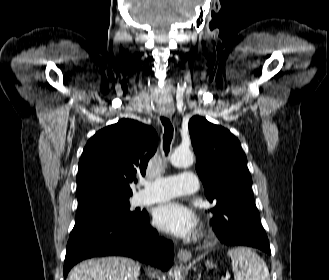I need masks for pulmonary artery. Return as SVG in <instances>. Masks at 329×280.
I'll return each mask as SVG.
<instances>
[{"mask_svg": "<svg viewBox=\"0 0 329 280\" xmlns=\"http://www.w3.org/2000/svg\"><path fill=\"white\" fill-rule=\"evenodd\" d=\"M198 189V178L193 172H183L156 178L145 184V188L137 194L139 205H148L166 201L179 195H191Z\"/></svg>", "mask_w": 329, "mask_h": 280, "instance_id": "e3ab8cb5", "label": "pulmonary artery"}]
</instances>
